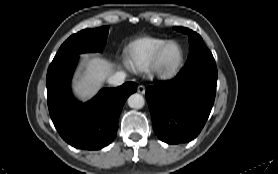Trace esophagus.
<instances>
[{
  "label": "esophagus",
  "instance_id": "esophagus-1",
  "mask_svg": "<svg viewBox=\"0 0 278 174\" xmlns=\"http://www.w3.org/2000/svg\"><path fill=\"white\" fill-rule=\"evenodd\" d=\"M137 91L140 93V94H144L145 93V87L143 85H139L137 87Z\"/></svg>",
  "mask_w": 278,
  "mask_h": 174
}]
</instances>
